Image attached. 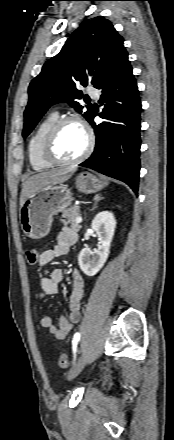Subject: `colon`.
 Here are the masks:
<instances>
[{
  "instance_id": "obj_1",
  "label": "colon",
  "mask_w": 174,
  "mask_h": 440,
  "mask_svg": "<svg viewBox=\"0 0 174 440\" xmlns=\"http://www.w3.org/2000/svg\"><path fill=\"white\" fill-rule=\"evenodd\" d=\"M26 261L29 266H35L39 261V255L36 248H29L26 251ZM70 359L69 356L65 353L59 356V365L60 367L66 369L69 367Z\"/></svg>"
}]
</instances>
